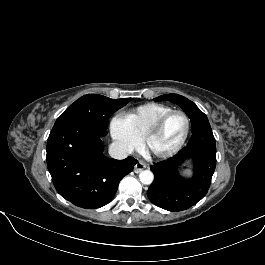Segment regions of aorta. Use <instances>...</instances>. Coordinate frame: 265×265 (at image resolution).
Returning <instances> with one entry per match:
<instances>
[{"mask_svg": "<svg viewBox=\"0 0 265 265\" xmlns=\"http://www.w3.org/2000/svg\"><path fill=\"white\" fill-rule=\"evenodd\" d=\"M139 179L142 184L150 185L153 182L154 175L150 170H144L140 172Z\"/></svg>", "mask_w": 265, "mask_h": 265, "instance_id": "1", "label": "aorta"}]
</instances>
